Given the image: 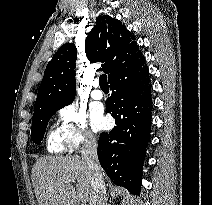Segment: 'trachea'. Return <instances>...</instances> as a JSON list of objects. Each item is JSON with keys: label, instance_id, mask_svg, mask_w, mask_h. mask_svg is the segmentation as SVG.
Masks as SVG:
<instances>
[{"label": "trachea", "instance_id": "obj_1", "mask_svg": "<svg viewBox=\"0 0 212 205\" xmlns=\"http://www.w3.org/2000/svg\"><path fill=\"white\" fill-rule=\"evenodd\" d=\"M99 85L100 87L103 88H108V82H107V76L105 74H102L99 77Z\"/></svg>", "mask_w": 212, "mask_h": 205}]
</instances>
